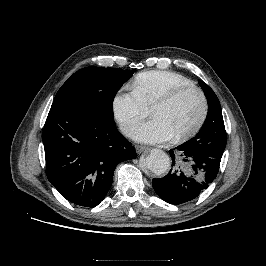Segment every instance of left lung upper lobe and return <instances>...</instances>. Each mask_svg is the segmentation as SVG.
<instances>
[{"instance_id":"obj_1","label":"left lung upper lobe","mask_w":266,"mask_h":266,"mask_svg":"<svg viewBox=\"0 0 266 266\" xmlns=\"http://www.w3.org/2000/svg\"><path fill=\"white\" fill-rule=\"evenodd\" d=\"M199 84L208 100V113L201 130L184 145L191 150L221 159L226 146V131L220 102L206 83L199 82Z\"/></svg>"}]
</instances>
